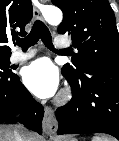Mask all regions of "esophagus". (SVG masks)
<instances>
[{
	"label": "esophagus",
	"mask_w": 119,
	"mask_h": 141,
	"mask_svg": "<svg viewBox=\"0 0 119 141\" xmlns=\"http://www.w3.org/2000/svg\"><path fill=\"white\" fill-rule=\"evenodd\" d=\"M33 15L35 19L43 20L42 14L39 8H33ZM43 131L46 134H54L57 130V121L54 117V112L49 106H45L44 108V118L42 122Z\"/></svg>",
	"instance_id": "1"
}]
</instances>
